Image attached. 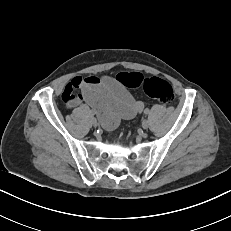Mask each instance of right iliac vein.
Instances as JSON below:
<instances>
[{
  "instance_id": "1",
  "label": "right iliac vein",
  "mask_w": 231,
  "mask_h": 231,
  "mask_svg": "<svg viewBox=\"0 0 231 231\" xmlns=\"http://www.w3.org/2000/svg\"><path fill=\"white\" fill-rule=\"evenodd\" d=\"M91 123L94 127L98 126V121L96 120V118H92Z\"/></svg>"
}]
</instances>
